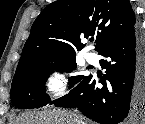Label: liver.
I'll return each instance as SVG.
<instances>
[{"instance_id":"6515ba94","label":"liver","mask_w":145,"mask_h":124,"mask_svg":"<svg viewBox=\"0 0 145 124\" xmlns=\"http://www.w3.org/2000/svg\"><path fill=\"white\" fill-rule=\"evenodd\" d=\"M14 124H87L77 115L64 110L27 112L20 115Z\"/></svg>"}]
</instances>
